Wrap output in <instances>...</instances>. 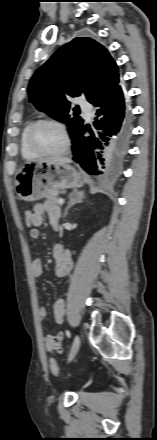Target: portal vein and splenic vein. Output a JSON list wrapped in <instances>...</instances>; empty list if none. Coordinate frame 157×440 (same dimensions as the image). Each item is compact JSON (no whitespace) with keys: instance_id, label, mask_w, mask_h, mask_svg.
I'll return each instance as SVG.
<instances>
[{"instance_id":"1","label":"portal vein and splenic vein","mask_w":157,"mask_h":440,"mask_svg":"<svg viewBox=\"0 0 157 440\" xmlns=\"http://www.w3.org/2000/svg\"><path fill=\"white\" fill-rule=\"evenodd\" d=\"M58 203L61 204V205L64 204V199L59 198V199H58Z\"/></svg>"}]
</instances>
